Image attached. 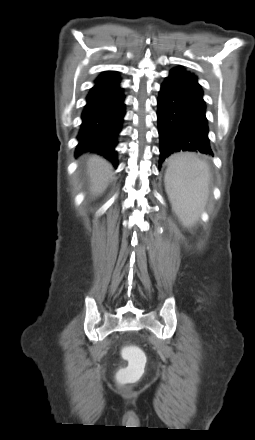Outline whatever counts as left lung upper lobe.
Here are the masks:
<instances>
[{
    "instance_id": "left-lung-upper-lobe-1",
    "label": "left lung upper lobe",
    "mask_w": 255,
    "mask_h": 440,
    "mask_svg": "<svg viewBox=\"0 0 255 440\" xmlns=\"http://www.w3.org/2000/svg\"><path fill=\"white\" fill-rule=\"evenodd\" d=\"M177 69H181V70H183V71H185L183 68H177ZM186 72V71H185ZM186 73H188L190 76H192L193 78H195L196 79V77H195V75L194 74H192V73H189V72H186Z\"/></svg>"
}]
</instances>
